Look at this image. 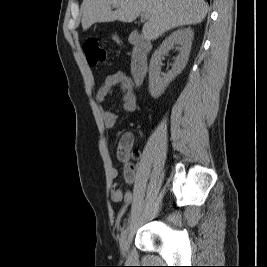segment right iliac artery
<instances>
[{
	"label": "right iliac artery",
	"instance_id": "right-iliac-artery-1",
	"mask_svg": "<svg viewBox=\"0 0 267 267\" xmlns=\"http://www.w3.org/2000/svg\"><path fill=\"white\" fill-rule=\"evenodd\" d=\"M127 235V228L123 229L122 232H121V238H125Z\"/></svg>",
	"mask_w": 267,
	"mask_h": 267
}]
</instances>
